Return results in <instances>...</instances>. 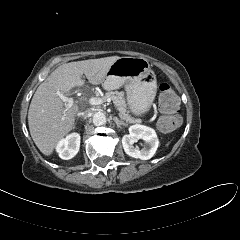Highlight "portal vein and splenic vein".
<instances>
[{"label": "portal vein and splenic vein", "instance_id": "1", "mask_svg": "<svg viewBox=\"0 0 240 240\" xmlns=\"http://www.w3.org/2000/svg\"><path fill=\"white\" fill-rule=\"evenodd\" d=\"M57 95L60 97V99L65 102L66 107L69 108L74 104V99L71 97H66L64 96L62 93L57 92ZM105 101L103 100V98L100 97H91L88 100V103L91 105H100L103 104Z\"/></svg>", "mask_w": 240, "mask_h": 240}]
</instances>
